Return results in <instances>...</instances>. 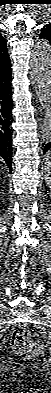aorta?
Masks as SVG:
<instances>
[{
	"mask_svg": "<svg viewBox=\"0 0 51 393\" xmlns=\"http://www.w3.org/2000/svg\"><path fill=\"white\" fill-rule=\"evenodd\" d=\"M30 66L31 80L45 111L41 133L47 141L51 138V46L48 41H40L34 46Z\"/></svg>",
	"mask_w": 51,
	"mask_h": 393,
	"instance_id": "762f6f07",
	"label": "aorta"
}]
</instances>
